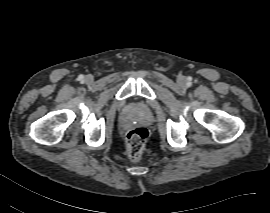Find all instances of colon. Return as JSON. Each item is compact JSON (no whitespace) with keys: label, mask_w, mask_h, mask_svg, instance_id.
Instances as JSON below:
<instances>
[{"label":"colon","mask_w":270,"mask_h":213,"mask_svg":"<svg viewBox=\"0 0 270 213\" xmlns=\"http://www.w3.org/2000/svg\"><path fill=\"white\" fill-rule=\"evenodd\" d=\"M148 131L143 127L130 130L126 136L127 154L131 160H138L145 149Z\"/></svg>","instance_id":"obj_1"}]
</instances>
